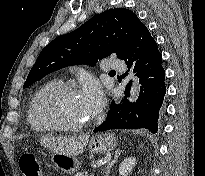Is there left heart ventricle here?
<instances>
[{
  "label": "left heart ventricle",
  "mask_w": 205,
  "mask_h": 176,
  "mask_svg": "<svg viewBox=\"0 0 205 176\" xmlns=\"http://www.w3.org/2000/svg\"><path fill=\"white\" fill-rule=\"evenodd\" d=\"M46 117L63 124L78 125L90 117L79 93L64 92L47 100L43 106Z\"/></svg>",
  "instance_id": "obj_1"
}]
</instances>
